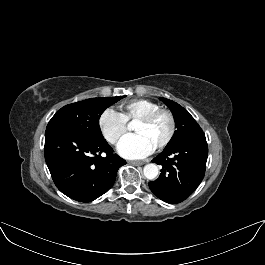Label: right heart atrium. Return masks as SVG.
<instances>
[{"mask_svg":"<svg viewBox=\"0 0 265 265\" xmlns=\"http://www.w3.org/2000/svg\"><path fill=\"white\" fill-rule=\"evenodd\" d=\"M98 126L103 137L112 145H117L127 132V123L117 111L110 108L101 112Z\"/></svg>","mask_w":265,"mask_h":265,"instance_id":"d8ad5b80","label":"right heart atrium"}]
</instances>
